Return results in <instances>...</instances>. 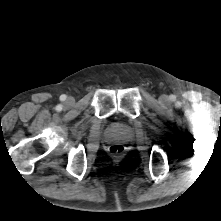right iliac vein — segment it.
I'll return each mask as SVG.
<instances>
[{
	"label": "right iliac vein",
	"mask_w": 221,
	"mask_h": 221,
	"mask_svg": "<svg viewBox=\"0 0 221 221\" xmlns=\"http://www.w3.org/2000/svg\"><path fill=\"white\" fill-rule=\"evenodd\" d=\"M66 103L67 105H72L74 103V99L72 97H69L67 100H66Z\"/></svg>",
	"instance_id": "1"
}]
</instances>
